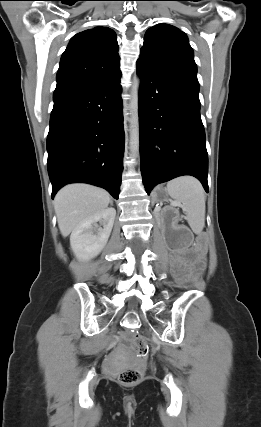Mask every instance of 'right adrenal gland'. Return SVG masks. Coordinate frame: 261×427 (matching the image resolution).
Listing matches in <instances>:
<instances>
[{
    "label": "right adrenal gland",
    "mask_w": 261,
    "mask_h": 427,
    "mask_svg": "<svg viewBox=\"0 0 261 427\" xmlns=\"http://www.w3.org/2000/svg\"><path fill=\"white\" fill-rule=\"evenodd\" d=\"M110 204H111V206H113V202L112 201H110Z\"/></svg>",
    "instance_id": "2a0ac1e0"
}]
</instances>
